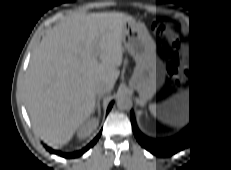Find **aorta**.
Returning <instances> with one entry per match:
<instances>
[{"mask_svg":"<svg viewBox=\"0 0 231 170\" xmlns=\"http://www.w3.org/2000/svg\"><path fill=\"white\" fill-rule=\"evenodd\" d=\"M117 106L120 109L128 110L132 106V101L127 95H119L117 98Z\"/></svg>","mask_w":231,"mask_h":170,"instance_id":"762f6f07","label":"aorta"}]
</instances>
